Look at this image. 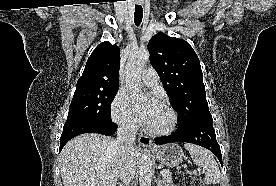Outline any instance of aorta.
I'll return each mask as SVG.
<instances>
[{
  "label": "aorta",
  "mask_w": 276,
  "mask_h": 186,
  "mask_svg": "<svg viewBox=\"0 0 276 186\" xmlns=\"http://www.w3.org/2000/svg\"><path fill=\"white\" fill-rule=\"evenodd\" d=\"M149 52L140 50L130 55L125 68V83L127 89L133 94L136 100H143L141 72L149 60ZM153 163L149 151H144L139 160V185L151 186Z\"/></svg>",
  "instance_id": "obj_1"
}]
</instances>
